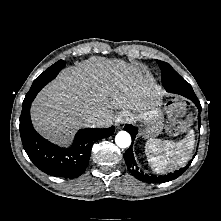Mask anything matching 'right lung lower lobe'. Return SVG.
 <instances>
[{"instance_id":"1","label":"right lung lower lobe","mask_w":221,"mask_h":221,"mask_svg":"<svg viewBox=\"0 0 221 221\" xmlns=\"http://www.w3.org/2000/svg\"><path fill=\"white\" fill-rule=\"evenodd\" d=\"M38 92L36 90L28 100L23 101L19 126L23 147L30 160L41 171L56 177H78L89 163L93 144L97 140L111 136L115 127L81 129L77 132L71 147L61 148L44 139L32 126L30 106Z\"/></svg>"}]
</instances>
